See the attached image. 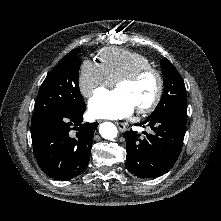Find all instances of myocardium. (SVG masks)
Returning a JSON list of instances; mask_svg holds the SVG:
<instances>
[{"mask_svg":"<svg viewBox=\"0 0 221 221\" xmlns=\"http://www.w3.org/2000/svg\"><path fill=\"white\" fill-rule=\"evenodd\" d=\"M152 74L156 77L157 80V91L153 98V100L146 106L136 109L138 114L144 115L151 113L156 109V107L161 102L164 93V78L162 73L154 68L153 66H145L135 69L134 71L120 77L116 81V85L118 86L121 83H133L141 79L142 77Z\"/></svg>","mask_w":221,"mask_h":221,"instance_id":"myocardium-1","label":"myocardium"}]
</instances>
